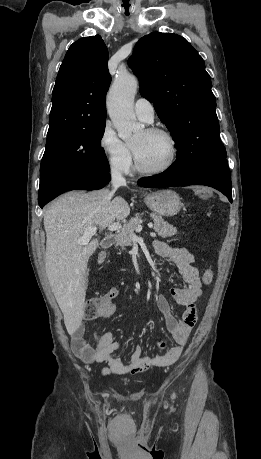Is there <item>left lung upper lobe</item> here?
I'll list each match as a JSON object with an SVG mask.
<instances>
[{
	"instance_id": "obj_1",
	"label": "left lung upper lobe",
	"mask_w": 261,
	"mask_h": 459,
	"mask_svg": "<svg viewBox=\"0 0 261 459\" xmlns=\"http://www.w3.org/2000/svg\"><path fill=\"white\" fill-rule=\"evenodd\" d=\"M129 65L139 78L141 95L154 103L178 147L172 168L186 173L199 164L227 157L210 76L186 39L159 32L144 36Z\"/></svg>"
}]
</instances>
